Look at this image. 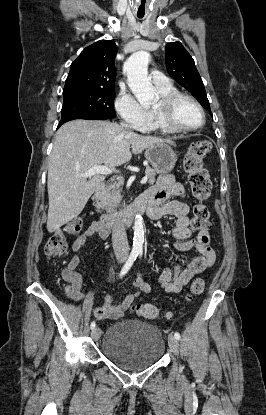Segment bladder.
<instances>
[{
    "label": "bladder",
    "mask_w": 266,
    "mask_h": 415,
    "mask_svg": "<svg viewBox=\"0 0 266 415\" xmlns=\"http://www.w3.org/2000/svg\"><path fill=\"white\" fill-rule=\"evenodd\" d=\"M165 351L162 332L153 324L139 320H121L106 331L103 355L127 371H140L157 363Z\"/></svg>",
    "instance_id": "obj_1"
}]
</instances>
